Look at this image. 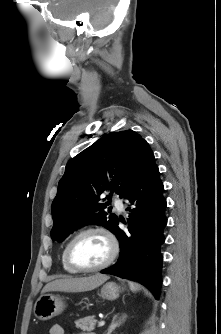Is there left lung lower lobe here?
I'll return each instance as SVG.
<instances>
[{
	"label": "left lung lower lobe",
	"instance_id": "1",
	"mask_svg": "<svg viewBox=\"0 0 221 334\" xmlns=\"http://www.w3.org/2000/svg\"><path fill=\"white\" fill-rule=\"evenodd\" d=\"M159 170L152 159L124 197L128 201L129 233L122 231L117 221L113 233L119 239L121 253L118 261L101 273L138 281L147 286L156 298L162 284L163 256L161 245L167 224L166 200Z\"/></svg>",
	"mask_w": 221,
	"mask_h": 334
}]
</instances>
